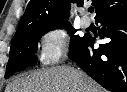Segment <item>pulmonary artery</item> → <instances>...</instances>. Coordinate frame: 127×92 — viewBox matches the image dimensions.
<instances>
[{
    "mask_svg": "<svg viewBox=\"0 0 127 92\" xmlns=\"http://www.w3.org/2000/svg\"><path fill=\"white\" fill-rule=\"evenodd\" d=\"M80 22H81V25L86 28L90 26L91 19L87 15H84L82 16Z\"/></svg>",
    "mask_w": 127,
    "mask_h": 92,
    "instance_id": "e3ab8cb5",
    "label": "pulmonary artery"
}]
</instances>
